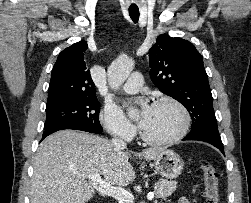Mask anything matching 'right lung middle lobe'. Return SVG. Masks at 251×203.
<instances>
[{
    "instance_id": "1",
    "label": "right lung middle lobe",
    "mask_w": 251,
    "mask_h": 203,
    "mask_svg": "<svg viewBox=\"0 0 251 203\" xmlns=\"http://www.w3.org/2000/svg\"><path fill=\"white\" fill-rule=\"evenodd\" d=\"M99 111L100 103L96 97L46 107L45 130L76 124L100 134L102 127L99 122Z\"/></svg>"
}]
</instances>
